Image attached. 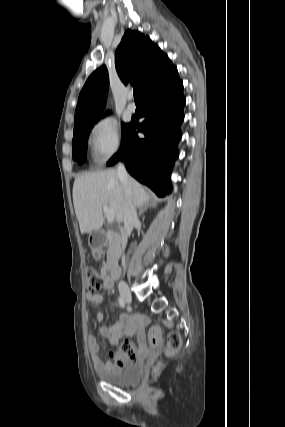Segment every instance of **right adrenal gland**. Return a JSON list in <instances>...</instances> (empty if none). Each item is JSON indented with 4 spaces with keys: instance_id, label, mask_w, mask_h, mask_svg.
I'll list each match as a JSON object with an SVG mask.
<instances>
[{
    "instance_id": "obj_1",
    "label": "right adrenal gland",
    "mask_w": 285,
    "mask_h": 427,
    "mask_svg": "<svg viewBox=\"0 0 285 427\" xmlns=\"http://www.w3.org/2000/svg\"><path fill=\"white\" fill-rule=\"evenodd\" d=\"M150 206V203L149 202H147V204H145L144 206H142L141 208H140V211H139V215H142L143 214V212L148 208Z\"/></svg>"
}]
</instances>
